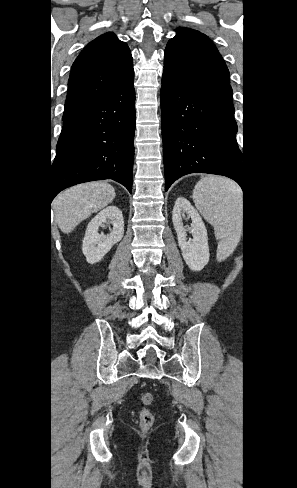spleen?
<instances>
[{
    "label": "spleen",
    "mask_w": 297,
    "mask_h": 488,
    "mask_svg": "<svg viewBox=\"0 0 297 488\" xmlns=\"http://www.w3.org/2000/svg\"><path fill=\"white\" fill-rule=\"evenodd\" d=\"M195 206L202 216L214 226L221 242L233 240L236 246L237 215L241 210L242 192L236 183L221 177L202 178L193 191Z\"/></svg>",
    "instance_id": "1"
}]
</instances>
